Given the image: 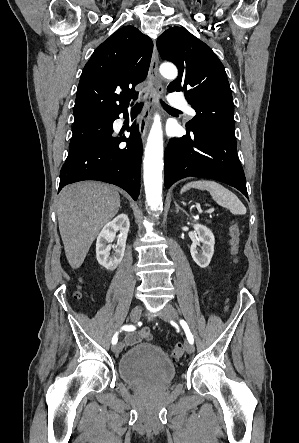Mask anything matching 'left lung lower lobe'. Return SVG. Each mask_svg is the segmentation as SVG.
<instances>
[{"instance_id":"obj_1","label":"left lung lower lobe","mask_w":299,"mask_h":443,"mask_svg":"<svg viewBox=\"0 0 299 443\" xmlns=\"http://www.w3.org/2000/svg\"><path fill=\"white\" fill-rule=\"evenodd\" d=\"M164 173L166 188L185 177H202L233 186L248 198L236 139L217 129L199 128L171 139L165 153Z\"/></svg>"}]
</instances>
